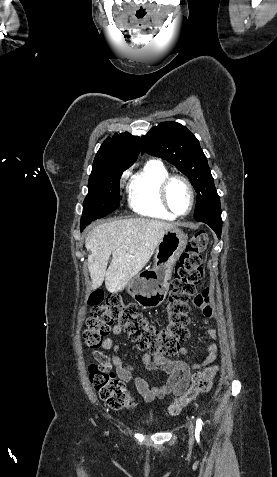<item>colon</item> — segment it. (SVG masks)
I'll use <instances>...</instances> for the list:
<instances>
[{
  "instance_id": "5ec220e1",
  "label": "colon",
  "mask_w": 277,
  "mask_h": 477,
  "mask_svg": "<svg viewBox=\"0 0 277 477\" xmlns=\"http://www.w3.org/2000/svg\"><path fill=\"white\" fill-rule=\"evenodd\" d=\"M207 246L208 236L204 232L194 234L188 241L175 268L166 308L167 323L162 327L149 322L135 304L123 302L118 295L104 297L100 291L91 293L88 298L91 310L83 333L85 344L90 348L101 346L111 326L117 322L139 349L155 355H174L180 349V343L189 337L190 303L198 296L203 278L202 258ZM216 372L217 367L213 366L195 373L192 385L169 406V413L178 415L196 397L208 392ZM89 378L101 400L111 408L119 410L132 406V397L108 365H90Z\"/></svg>"
}]
</instances>
